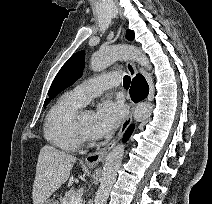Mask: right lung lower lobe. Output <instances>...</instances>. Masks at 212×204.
Wrapping results in <instances>:
<instances>
[{
    "mask_svg": "<svg viewBox=\"0 0 212 204\" xmlns=\"http://www.w3.org/2000/svg\"><path fill=\"white\" fill-rule=\"evenodd\" d=\"M149 92V87L144 77L138 74L132 81L130 95L134 102H139L146 98Z\"/></svg>",
    "mask_w": 212,
    "mask_h": 204,
    "instance_id": "1",
    "label": "right lung lower lobe"
}]
</instances>
